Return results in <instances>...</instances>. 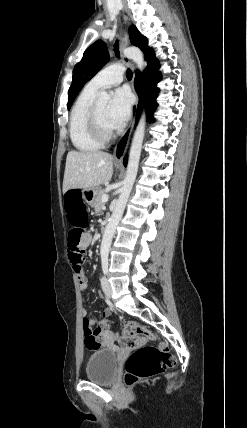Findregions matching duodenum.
Masks as SVG:
<instances>
[{
  "mask_svg": "<svg viewBox=\"0 0 247 428\" xmlns=\"http://www.w3.org/2000/svg\"><path fill=\"white\" fill-rule=\"evenodd\" d=\"M107 226H108V220H105V221L102 223V227H101V230H102V232H103V233L106 231Z\"/></svg>",
  "mask_w": 247,
  "mask_h": 428,
  "instance_id": "1",
  "label": "duodenum"
}]
</instances>
